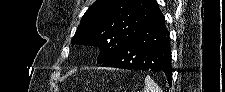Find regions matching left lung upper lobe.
<instances>
[{"label":"left lung upper lobe","instance_id":"5c2ea615","mask_svg":"<svg viewBox=\"0 0 225 92\" xmlns=\"http://www.w3.org/2000/svg\"><path fill=\"white\" fill-rule=\"evenodd\" d=\"M159 12L155 0H96L83 15L71 43L98 47L101 64Z\"/></svg>","mask_w":225,"mask_h":92}]
</instances>
